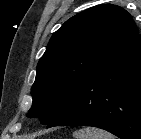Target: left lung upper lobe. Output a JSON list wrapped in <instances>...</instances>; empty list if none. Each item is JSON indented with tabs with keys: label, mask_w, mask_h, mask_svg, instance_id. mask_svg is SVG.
<instances>
[{
	"label": "left lung upper lobe",
	"mask_w": 141,
	"mask_h": 139,
	"mask_svg": "<svg viewBox=\"0 0 141 139\" xmlns=\"http://www.w3.org/2000/svg\"><path fill=\"white\" fill-rule=\"evenodd\" d=\"M137 35L130 14L116 5H98L70 18L38 62L27 115L48 124L83 81Z\"/></svg>",
	"instance_id": "left-lung-upper-lobe-1"
}]
</instances>
